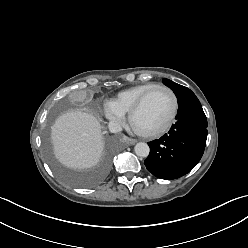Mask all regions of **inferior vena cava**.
I'll return each instance as SVG.
<instances>
[{
  "instance_id": "inferior-vena-cava-1",
  "label": "inferior vena cava",
  "mask_w": 248,
  "mask_h": 248,
  "mask_svg": "<svg viewBox=\"0 0 248 248\" xmlns=\"http://www.w3.org/2000/svg\"><path fill=\"white\" fill-rule=\"evenodd\" d=\"M109 131L112 133H118L122 131V127L117 122H109L108 124Z\"/></svg>"
}]
</instances>
